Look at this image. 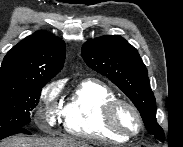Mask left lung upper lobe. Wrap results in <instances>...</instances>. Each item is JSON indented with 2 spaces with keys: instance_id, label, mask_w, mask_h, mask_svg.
Instances as JSON below:
<instances>
[{
  "instance_id": "left-lung-upper-lobe-1",
  "label": "left lung upper lobe",
  "mask_w": 183,
  "mask_h": 147,
  "mask_svg": "<svg viewBox=\"0 0 183 147\" xmlns=\"http://www.w3.org/2000/svg\"><path fill=\"white\" fill-rule=\"evenodd\" d=\"M87 65L108 77L139 110L146 129L160 141L164 131L156 121V100L138 51L119 35L90 39L82 46Z\"/></svg>"
}]
</instances>
